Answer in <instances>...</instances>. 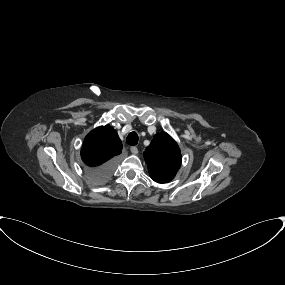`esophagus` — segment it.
Wrapping results in <instances>:
<instances>
[{
    "label": "esophagus",
    "mask_w": 285,
    "mask_h": 285,
    "mask_svg": "<svg viewBox=\"0 0 285 285\" xmlns=\"http://www.w3.org/2000/svg\"><path fill=\"white\" fill-rule=\"evenodd\" d=\"M131 153L137 154L138 153V148L136 146H132L130 149Z\"/></svg>",
    "instance_id": "obj_1"
}]
</instances>
